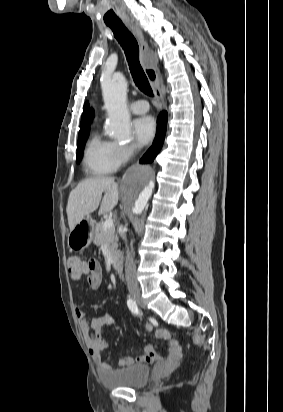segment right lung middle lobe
<instances>
[{
	"label": "right lung middle lobe",
	"instance_id": "obj_1",
	"mask_svg": "<svg viewBox=\"0 0 283 412\" xmlns=\"http://www.w3.org/2000/svg\"><path fill=\"white\" fill-rule=\"evenodd\" d=\"M88 135H89V133H86V134L80 135L79 138H78V144H77V151H78V153H77V162H79V160H80L81 157H82V152H81V151L84 149V146H85L86 140H87V138H88Z\"/></svg>",
	"mask_w": 283,
	"mask_h": 412
}]
</instances>
